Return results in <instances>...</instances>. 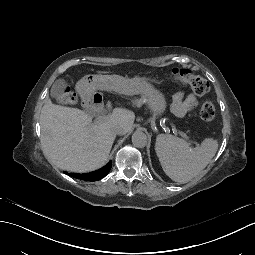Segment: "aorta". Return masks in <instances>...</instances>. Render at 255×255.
Listing matches in <instances>:
<instances>
[{"label":"aorta","mask_w":255,"mask_h":255,"mask_svg":"<svg viewBox=\"0 0 255 255\" xmlns=\"http://www.w3.org/2000/svg\"><path fill=\"white\" fill-rule=\"evenodd\" d=\"M132 143L137 148H143L147 145V136L142 131H136L132 135Z\"/></svg>","instance_id":"obj_1"}]
</instances>
